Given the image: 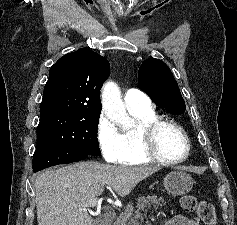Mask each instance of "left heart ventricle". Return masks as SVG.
Returning <instances> with one entry per match:
<instances>
[{
    "label": "left heart ventricle",
    "mask_w": 237,
    "mask_h": 225,
    "mask_svg": "<svg viewBox=\"0 0 237 225\" xmlns=\"http://www.w3.org/2000/svg\"><path fill=\"white\" fill-rule=\"evenodd\" d=\"M158 144L161 154L166 158H180L186 152V144L183 137L173 128H165L160 132Z\"/></svg>",
    "instance_id": "left-heart-ventricle-1"
}]
</instances>
